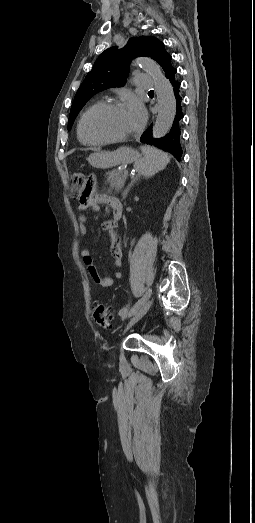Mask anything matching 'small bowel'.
Segmentation results:
<instances>
[{"instance_id": "small-bowel-1", "label": "small bowel", "mask_w": 255, "mask_h": 523, "mask_svg": "<svg viewBox=\"0 0 255 523\" xmlns=\"http://www.w3.org/2000/svg\"><path fill=\"white\" fill-rule=\"evenodd\" d=\"M109 197L105 195H99L96 196L92 193L90 190V195L87 199H81L78 204V209L81 211L86 210L87 208L91 207L93 209H98L100 203H107V199ZM79 222V232L83 239L87 237V216L85 214H80L78 217ZM116 227V224L113 221L107 220L102 222L101 228L103 231L107 232L111 238V255L114 258V264L116 267H120L122 265V258H123V250L120 243V239L116 232L114 231ZM80 255L82 257L83 262L86 264L87 273L90 277V279L96 284L101 286L102 288H108L111 287L114 283V280L111 277H102L97 272V269L95 265L93 264L92 257L90 255V251L86 246H83L80 250ZM116 278L122 277V272L120 270L116 271L115 273Z\"/></svg>"}]
</instances>
